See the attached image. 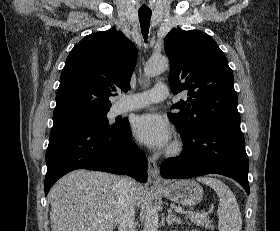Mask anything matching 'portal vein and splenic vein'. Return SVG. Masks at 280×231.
<instances>
[{
    "label": "portal vein and splenic vein",
    "instance_id": "obj_1",
    "mask_svg": "<svg viewBox=\"0 0 280 231\" xmlns=\"http://www.w3.org/2000/svg\"><path fill=\"white\" fill-rule=\"evenodd\" d=\"M175 211H181L180 207H176Z\"/></svg>",
    "mask_w": 280,
    "mask_h": 231
}]
</instances>
